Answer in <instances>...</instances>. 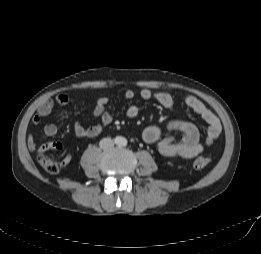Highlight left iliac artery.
Masks as SVG:
<instances>
[{"label":"left iliac artery","mask_w":261,"mask_h":254,"mask_svg":"<svg viewBox=\"0 0 261 254\" xmlns=\"http://www.w3.org/2000/svg\"><path fill=\"white\" fill-rule=\"evenodd\" d=\"M126 144H127V143H126V141H125V140H123V141H122V145H124V146H125Z\"/></svg>","instance_id":"left-iliac-artery-1"}]
</instances>
